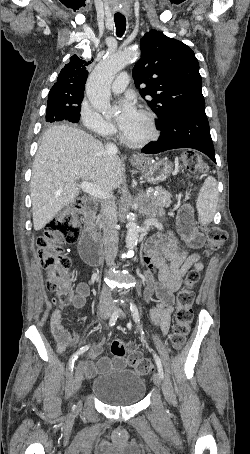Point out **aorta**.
I'll return each mask as SVG.
<instances>
[{
  "label": "aorta",
  "instance_id": "762f6f07",
  "mask_svg": "<svg viewBox=\"0 0 250 454\" xmlns=\"http://www.w3.org/2000/svg\"><path fill=\"white\" fill-rule=\"evenodd\" d=\"M138 52L135 48H128L122 51L108 54L89 75L86 84V95L90 104L104 116L113 114L114 110L110 104V86L115 76L127 64L135 60ZM126 246L134 249L138 243L140 228L132 214L127 216Z\"/></svg>",
  "mask_w": 250,
  "mask_h": 454
}]
</instances>
